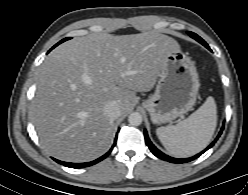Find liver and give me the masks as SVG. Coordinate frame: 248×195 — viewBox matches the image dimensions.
Returning a JSON list of instances; mask_svg holds the SVG:
<instances>
[{"mask_svg":"<svg viewBox=\"0 0 248 195\" xmlns=\"http://www.w3.org/2000/svg\"><path fill=\"white\" fill-rule=\"evenodd\" d=\"M171 37L149 31L115 36L93 33L56 47L37 74L31 116L43 149L57 159L86 162L112 145L114 120L104 106L116 101L121 115L150 91L170 51Z\"/></svg>","mask_w":248,"mask_h":195,"instance_id":"liver-1","label":"liver"}]
</instances>
